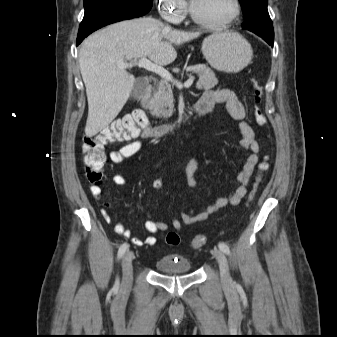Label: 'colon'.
Returning <instances> with one entry per match:
<instances>
[{"mask_svg":"<svg viewBox=\"0 0 337 337\" xmlns=\"http://www.w3.org/2000/svg\"><path fill=\"white\" fill-rule=\"evenodd\" d=\"M254 110L253 115L257 125L264 126L267 123L266 117L260 107L263 86L257 79L252 80ZM139 131L138 123L133 116H126L110 123L100 132L94 135H86L83 137L81 151L83 154V162L85 167V175L92 185H100L102 183V167L105 164L106 156L104 152L105 146L122 142L135 136ZM269 169V156L265 154L258 164V172L252 183L251 190L248 194L247 201H251L256 194L258 186L261 182L263 174ZM165 242L168 245H177L180 242L179 235L174 231L165 234ZM206 243L203 235H196L190 241L193 249H199Z\"/></svg>","mask_w":337,"mask_h":337,"instance_id":"colon-1","label":"colon"}]
</instances>
